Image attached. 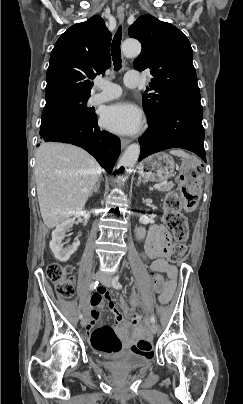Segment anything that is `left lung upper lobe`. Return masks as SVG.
I'll return each mask as SVG.
<instances>
[{
  "mask_svg": "<svg viewBox=\"0 0 243 404\" xmlns=\"http://www.w3.org/2000/svg\"><path fill=\"white\" fill-rule=\"evenodd\" d=\"M129 36L142 44L134 68L150 69L153 76L143 98L149 123L157 121L172 106L201 105L192 48L178 28L143 15L129 27Z\"/></svg>",
  "mask_w": 243,
  "mask_h": 404,
  "instance_id": "5c2ea615",
  "label": "left lung upper lobe"
}]
</instances>
